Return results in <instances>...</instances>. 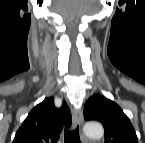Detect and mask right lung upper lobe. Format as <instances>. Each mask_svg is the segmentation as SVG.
Here are the masks:
<instances>
[{
    "instance_id": "right-lung-upper-lobe-1",
    "label": "right lung upper lobe",
    "mask_w": 145,
    "mask_h": 143,
    "mask_svg": "<svg viewBox=\"0 0 145 143\" xmlns=\"http://www.w3.org/2000/svg\"><path fill=\"white\" fill-rule=\"evenodd\" d=\"M71 113L63 102L56 108L52 97L35 106L17 131L14 143H56L63 125L70 126Z\"/></svg>"
}]
</instances>
